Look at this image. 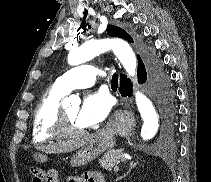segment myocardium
Segmentation results:
<instances>
[{
    "mask_svg": "<svg viewBox=\"0 0 211 182\" xmlns=\"http://www.w3.org/2000/svg\"><path fill=\"white\" fill-rule=\"evenodd\" d=\"M54 132L59 136L63 138H79L84 136L87 131L85 129L76 130L73 129L64 112V108L61 106L59 107L55 121H54Z\"/></svg>",
    "mask_w": 211,
    "mask_h": 182,
    "instance_id": "1",
    "label": "myocardium"
}]
</instances>
